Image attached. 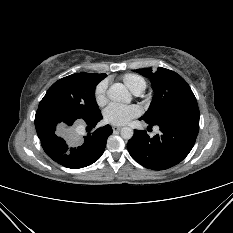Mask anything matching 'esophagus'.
<instances>
[{
  "instance_id": "esophagus-1",
  "label": "esophagus",
  "mask_w": 233,
  "mask_h": 233,
  "mask_svg": "<svg viewBox=\"0 0 233 233\" xmlns=\"http://www.w3.org/2000/svg\"><path fill=\"white\" fill-rule=\"evenodd\" d=\"M121 128L122 127H120V126H112V129H113L114 132L121 130Z\"/></svg>"
}]
</instances>
